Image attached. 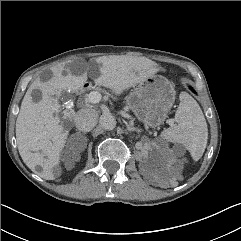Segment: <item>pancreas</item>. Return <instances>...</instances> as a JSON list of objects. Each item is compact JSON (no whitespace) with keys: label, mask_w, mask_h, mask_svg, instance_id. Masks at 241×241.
<instances>
[{"label":"pancreas","mask_w":241,"mask_h":241,"mask_svg":"<svg viewBox=\"0 0 241 241\" xmlns=\"http://www.w3.org/2000/svg\"><path fill=\"white\" fill-rule=\"evenodd\" d=\"M88 96H89V94H86V95H85V101H86V102H90L89 99H88Z\"/></svg>","instance_id":"cf45deb5"}]
</instances>
